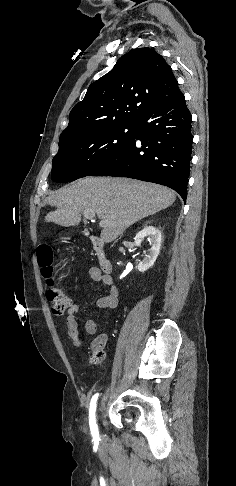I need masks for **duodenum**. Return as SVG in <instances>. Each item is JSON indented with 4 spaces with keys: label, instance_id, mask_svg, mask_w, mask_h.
<instances>
[{
    "label": "duodenum",
    "instance_id": "1",
    "mask_svg": "<svg viewBox=\"0 0 236 486\" xmlns=\"http://www.w3.org/2000/svg\"><path fill=\"white\" fill-rule=\"evenodd\" d=\"M92 243L101 270L106 274H110L112 271V264L110 260L106 257L103 241L98 238H93Z\"/></svg>",
    "mask_w": 236,
    "mask_h": 486
}]
</instances>
